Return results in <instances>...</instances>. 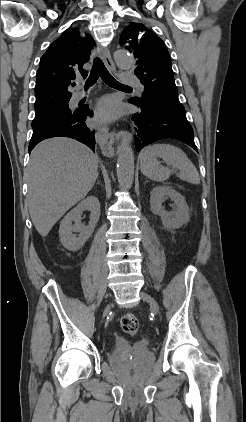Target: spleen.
<instances>
[{
    "label": "spleen",
    "mask_w": 246,
    "mask_h": 422,
    "mask_svg": "<svg viewBox=\"0 0 246 422\" xmlns=\"http://www.w3.org/2000/svg\"><path fill=\"white\" fill-rule=\"evenodd\" d=\"M160 157L167 167L160 165ZM142 173L156 182H164L170 175L177 172V176L189 183L200 184L199 173L184 151L170 144H153L142 150L140 154ZM172 167V169H171Z\"/></svg>",
    "instance_id": "1"
}]
</instances>
